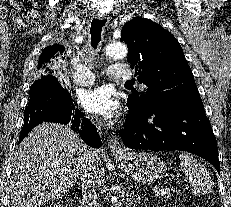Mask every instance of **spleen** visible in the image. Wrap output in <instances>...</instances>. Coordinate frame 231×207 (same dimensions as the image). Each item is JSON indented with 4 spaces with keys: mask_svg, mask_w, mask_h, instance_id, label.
Instances as JSON below:
<instances>
[{
    "mask_svg": "<svg viewBox=\"0 0 231 207\" xmlns=\"http://www.w3.org/2000/svg\"><path fill=\"white\" fill-rule=\"evenodd\" d=\"M180 167L192 185L195 195L209 193L213 188V181L206 168L188 153L179 156Z\"/></svg>",
    "mask_w": 231,
    "mask_h": 207,
    "instance_id": "3e777b00",
    "label": "spleen"
}]
</instances>
